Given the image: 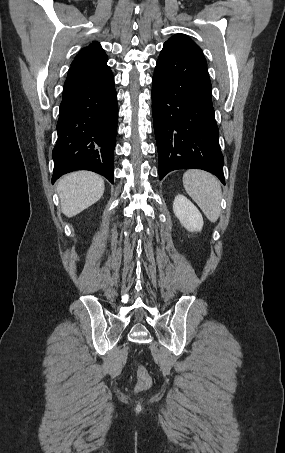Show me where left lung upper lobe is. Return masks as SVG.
<instances>
[{
    "label": "left lung upper lobe",
    "instance_id": "5c2ea615",
    "mask_svg": "<svg viewBox=\"0 0 285 453\" xmlns=\"http://www.w3.org/2000/svg\"><path fill=\"white\" fill-rule=\"evenodd\" d=\"M164 46L183 50L189 54H192V55L200 58L204 62H206L205 57H204L203 52L200 49V47L184 34H176V35L172 36L164 43Z\"/></svg>",
    "mask_w": 285,
    "mask_h": 453
}]
</instances>
